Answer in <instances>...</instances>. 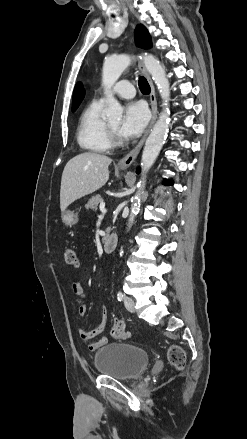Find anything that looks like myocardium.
Instances as JSON below:
<instances>
[{
  "label": "myocardium",
  "instance_id": "myocardium-1",
  "mask_svg": "<svg viewBox=\"0 0 247 439\" xmlns=\"http://www.w3.org/2000/svg\"><path fill=\"white\" fill-rule=\"evenodd\" d=\"M107 130L112 146H121L123 144V140L119 137L117 131L109 123H107Z\"/></svg>",
  "mask_w": 247,
  "mask_h": 439
}]
</instances>
